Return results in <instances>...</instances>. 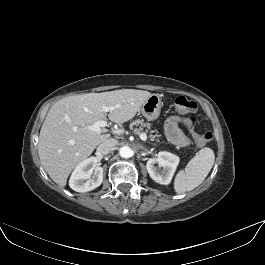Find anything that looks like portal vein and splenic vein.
<instances>
[{
	"label": "portal vein and splenic vein",
	"instance_id": "obj_1",
	"mask_svg": "<svg viewBox=\"0 0 265 265\" xmlns=\"http://www.w3.org/2000/svg\"><path fill=\"white\" fill-rule=\"evenodd\" d=\"M113 107H108V106H103L102 107V110L104 112H109L110 110H112ZM108 124H107V121L105 120H100V121H97L95 122L92 126H91V129L93 131H96V132H99L101 128H104L106 127ZM114 133H117V134H120L122 133L121 130H116V131H113ZM140 139L143 140V141H146L147 140V135L144 133V132H141L140 133Z\"/></svg>",
	"mask_w": 265,
	"mask_h": 265
}]
</instances>
